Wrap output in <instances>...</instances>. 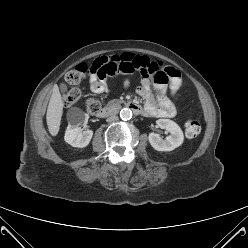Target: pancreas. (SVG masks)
Wrapping results in <instances>:
<instances>
[{"label":"pancreas","mask_w":248,"mask_h":248,"mask_svg":"<svg viewBox=\"0 0 248 248\" xmlns=\"http://www.w3.org/2000/svg\"><path fill=\"white\" fill-rule=\"evenodd\" d=\"M120 103H121L120 100L113 99V100L108 102L107 107L108 108H114V107L118 106Z\"/></svg>","instance_id":"cf45deb5"}]
</instances>
